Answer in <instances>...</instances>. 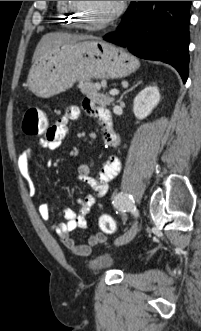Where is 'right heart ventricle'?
Listing matches in <instances>:
<instances>
[{"label": "right heart ventricle", "mask_w": 201, "mask_h": 331, "mask_svg": "<svg viewBox=\"0 0 201 331\" xmlns=\"http://www.w3.org/2000/svg\"><path fill=\"white\" fill-rule=\"evenodd\" d=\"M57 11L59 19L68 23L66 26H76L78 24L76 13L70 7V1H57Z\"/></svg>", "instance_id": "right-heart-ventricle-1"}]
</instances>
